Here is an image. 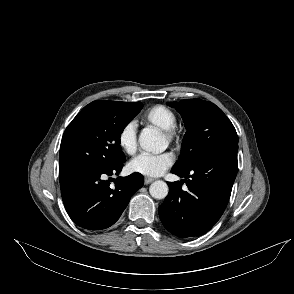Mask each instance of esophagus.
Wrapping results in <instances>:
<instances>
[{
  "mask_svg": "<svg viewBox=\"0 0 294 294\" xmlns=\"http://www.w3.org/2000/svg\"><path fill=\"white\" fill-rule=\"evenodd\" d=\"M154 180H155L154 178L146 177L145 184L148 185V184L152 183Z\"/></svg>",
  "mask_w": 294,
  "mask_h": 294,
  "instance_id": "1",
  "label": "esophagus"
}]
</instances>
